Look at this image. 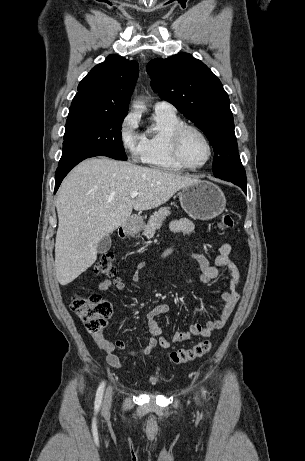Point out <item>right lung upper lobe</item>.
<instances>
[{
  "label": "right lung upper lobe",
  "mask_w": 305,
  "mask_h": 461,
  "mask_svg": "<svg viewBox=\"0 0 305 461\" xmlns=\"http://www.w3.org/2000/svg\"><path fill=\"white\" fill-rule=\"evenodd\" d=\"M138 74L136 61L109 55L80 82L70 110L84 109L127 115Z\"/></svg>",
  "instance_id": "right-lung-upper-lobe-1"
}]
</instances>
